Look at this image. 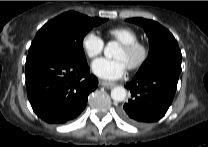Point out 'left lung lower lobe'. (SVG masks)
Listing matches in <instances>:
<instances>
[{
  "mask_svg": "<svg viewBox=\"0 0 208 147\" xmlns=\"http://www.w3.org/2000/svg\"><path fill=\"white\" fill-rule=\"evenodd\" d=\"M180 73L170 68L154 69L126 84L131 98L120 109L129 124L143 126L161 119L171 105Z\"/></svg>",
  "mask_w": 208,
  "mask_h": 147,
  "instance_id": "1",
  "label": "left lung lower lobe"
}]
</instances>
